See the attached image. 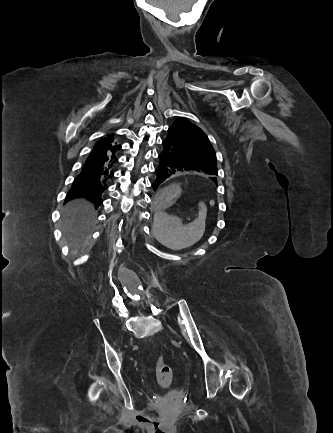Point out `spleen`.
Returning <instances> with one entry per match:
<instances>
[{"mask_svg":"<svg viewBox=\"0 0 333 433\" xmlns=\"http://www.w3.org/2000/svg\"><path fill=\"white\" fill-rule=\"evenodd\" d=\"M201 208L203 205L199 204ZM206 209L199 212L198 218L183 225L182 221L168 215L165 210H155L152 233L162 245L172 250L188 248L198 242L205 232Z\"/></svg>","mask_w":333,"mask_h":433,"instance_id":"1","label":"spleen"}]
</instances>
